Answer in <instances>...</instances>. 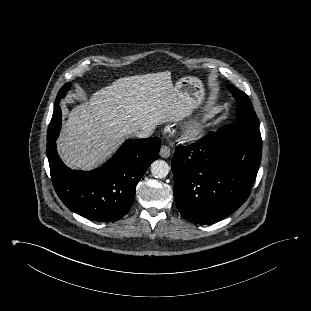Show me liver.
I'll use <instances>...</instances> for the list:
<instances>
[{
	"instance_id": "obj_1",
	"label": "liver",
	"mask_w": 311,
	"mask_h": 311,
	"mask_svg": "<svg viewBox=\"0 0 311 311\" xmlns=\"http://www.w3.org/2000/svg\"><path fill=\"white\" fill-rule=\"evenodd\" d=\"M191 111L169 71L119 78L68 113L58 150L67 166L91 169L124 137L180 121Z\"/></svg>"
}]
</instances>
